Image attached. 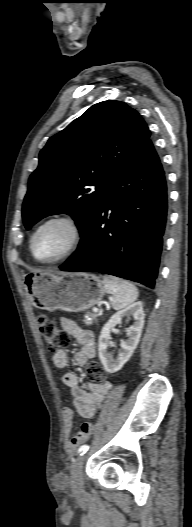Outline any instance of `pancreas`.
<instances>
[{
  "label": "pancreas",
  "instance_id": "pancreas-1",
  "mask_svg": "<svg viewBox=\"0 0 192 527\" xmlns=\"http://www.w3.org/2000/svg\"><path fill=\"white\" fill-rule=\"evenodd\" d=\"M97 314L95 312H87V317L83 320L86 325H91L97 322Z\"/></svg>",
  "mask_w": 192,
  "mask_h": 527
}]
</instances>
